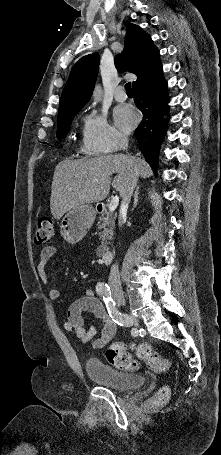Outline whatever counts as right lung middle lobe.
Wrapping results in <instances>:
<instances>
[{"instance_id":"dd1d6c3e","label":"right lung middle lobe","mask_w":221,"mask_h":455,"mask_svg":"<svg viewBox=\"0 0 221 455\" xmlns=\"http://www.w3.org/2000/svg\"><path fill=\"white\" fill-rule=\"evenodd\" d=\"M77 112H69L58 115L57 139H64L67 135L71 122Z\"/></svg>"}]
</instances>
